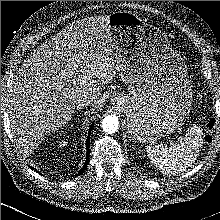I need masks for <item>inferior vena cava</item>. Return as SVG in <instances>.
Wrapping results in <instances>:
<instances>
[{"instance_id": "inferior-vena-cava-1", "label": "inferior vena cava", "mask_w": 220, "mask_h": 220, "mask_svg": "<svg viewBox=\"0 0 220 220\" xmlns=\"http://www.w3.org/2000/svg\"><path fill=\"white\" fill-rule=\"evenodd\" d=\"M95 101V97L91 94H83L78 100H77V106L78 108L86 107L91 105Z\"/></svg>"}]
</instances>
